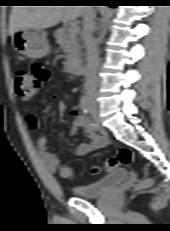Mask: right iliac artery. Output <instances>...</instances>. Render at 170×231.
Segmentation results:
<instances>
[{"label": "right iliac artery", "instance_id": "82829eb1", "mask_svg": "<svg viewBox=\"0 0 170 231\" xmlns=\"http://www.w3.org/2000/svg\"><path fill=\"white\" fill-rule=\"evenodd\" d=\"M80 104L82 108L83 114L86 116L87 121L89 122V127L91 130H96V126L92 120V118L89 116V102H88V97L87 96H82L80 99Z\"/></svg>", "mask_w": 170, "mask_h": 231}]
</instances>
